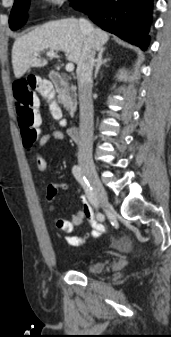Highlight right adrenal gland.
<instances>
[{
  "label": "right adrenal gland",
  "mask_w": 171,
  "mask_h": 337,
  "mask_svg": "<svg viewBox=\"0 0 171 337\" xmlns=\"http://www.w3.org/2000/svg\"><path fill=\"white\" fill-rule=\"evenodd\" d=\"M104 51H105V48H102L99 50L98 58L96 60V65H95V73H94L95 78L97 77L100 67L103 64H106L110 60V59H105V60L102 59Z\"/></svg>",
  "instance_id": "1"
}]
</instances>
